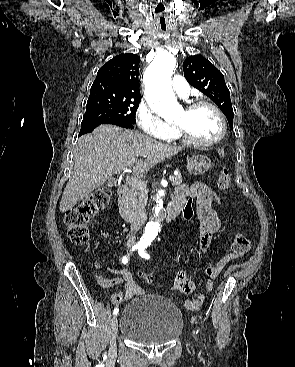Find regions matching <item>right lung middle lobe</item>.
<instances>
[{
	"label": "right lung middle lobe",
	"mask_w": 295,
	"mask_h": 367,
	"mask_svg": "<svg viewBox=\"0 0 295 367\" xmlns=\"http://www.w3.org/2000/svg\"><path fill=\"white\" fill-rule=\"evenodd\" d=\"M140 98L117 96L109 93L90 92L81 130L116 121L135 123Z\"/></svg>",
	"instance_id": "right-lung-middle-lobe-1"
}]
</instances>
